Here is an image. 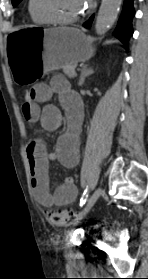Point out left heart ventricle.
Returning a JSON list of instances; mask_svg holds the SVG:
<instances>
[{"label": "left heart ventricle", "mask_w": 148, "mask_h": 279, "mask_svg": "<svg viewBox=\"0 0 148 279\" xmlns=\"http://www.w3.org/2000/svg\"><path fill=\"white\" fill-rule=\"evenodd\" d=\"M38 9L58 18H72L82 13V0H37Z\"/></svg>", "instance_id": "left-heart-ventricle-1"}]
</instances>
